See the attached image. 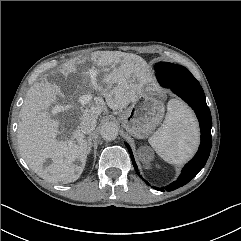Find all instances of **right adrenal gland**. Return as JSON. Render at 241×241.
Listing matches in <instances>:
<instances>
[{"label": "right adrenal gland", "mask_w": 241, "mask_h": 241, "mask_svg": "<svg viewBox=\"0 0 241 241\" xmlns=\"http://www.w3.org/2000/svg\"><path fill=\"white\" fill-rule=\"evenodd\" d=\"M87 144H88V154L91 152V148H92V139L91 136L87 137Z\"/></svg>", "instance_id": "obj_1"}]
</instances>
